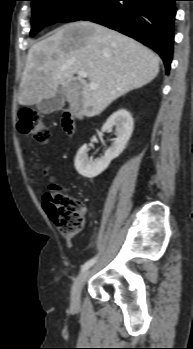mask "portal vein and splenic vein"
<instances>
[{"label": "portal vein and splenic vein", "instance_id": "18ae733b", "mask_svg": "<svg viewBox=\"0 0 193 349\" xmlns=\"http://www.w3.org/2000/svg\"><path fill=\"white\" fill-rule=\"evenodd\" d=\"M78 76H79V77H82V78H86V77H87V73L84 72V71H79V72H78ZM89 87H90L91 89H96V88H97V84L94 83V82H90Z\"/></svg>", "mask_w": 193, "mask_h": 349}]
</instances>
